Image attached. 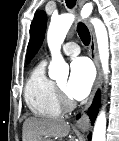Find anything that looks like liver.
<instances>
[{"instance_id": "obj_1", "label": "liver", "mask_w": 119, "mask_h": 141, "mask_svg": "<svg viewBox=\"0 0 119 141\" xmlns=\"http://www.w3.org/2000/svg\"><path fill=\"white\" fill-rule=\"evenodd\" d=\"M70 131L68 122L60 119L31 117L23 124V141H34L43 138H61Z\"/></svg>"}]
</instances>
